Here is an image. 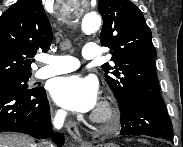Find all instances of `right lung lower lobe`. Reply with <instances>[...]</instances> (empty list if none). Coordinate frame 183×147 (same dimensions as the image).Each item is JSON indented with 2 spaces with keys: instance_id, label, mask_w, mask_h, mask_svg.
<instances>
[{
  "instance_id": "98d812e1",
  "label": "right lung lower lobe",
  "mask_w": 183,
  "mask_h": 147,
  "mask_svg": "<svg viewBox=\"0 0 183 147\" xmlns=\"http://www.w3.org/2000/svg\"><path fill=\"white\" fill-rule=\"evenodd\" d=\"M21 132L34 138L52 134L50 107L43 87L0 89V132ZM58 146L63 134L53 136Z\"/></svg>"
}]
</instances>
